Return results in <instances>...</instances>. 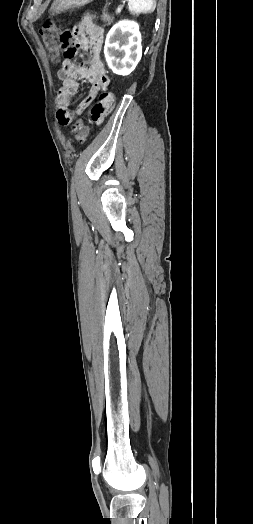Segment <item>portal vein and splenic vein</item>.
<instances>
[{"mask_svg": "<svg viewBox=\"0 0 253 524\" xmlns=\"http://www.w3.org/2000/svg\"><path fill=\"white\" fill-rule=\"evenodd\" d=\"M121 9H122L121 7H118V9H117V12H120V11H121Z\"/></svg>", "mask_w": 253, "mask_h": 524, "instance_id": "obj_1", "label": "portal vein and splenic vein"}]
</instances>
